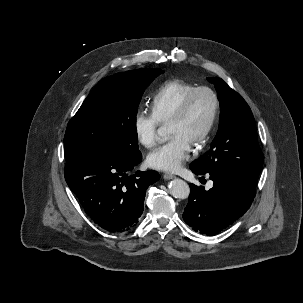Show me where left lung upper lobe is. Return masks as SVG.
<instances>
[{
  "instance_id": "1",
  "label": "left lung upper lobe",
  "mask_w": 303,
  "mask_h": 303,
  "mask_svg": "<svg viewBox=\"0 0 303 303\" xmlns=\"http://www.w3.org/2000/svg\"><path fill=\"white\" fill-rule=\"evenodd\" d=\"M207 79L215 85L218 93L219 129L210 150L192 162L190 167L204 173L223 171L244 178L256 186L264 156L259 147L250 107L222 79Z\"/></svg>"
}]
</instances>
